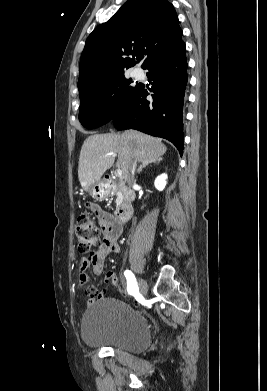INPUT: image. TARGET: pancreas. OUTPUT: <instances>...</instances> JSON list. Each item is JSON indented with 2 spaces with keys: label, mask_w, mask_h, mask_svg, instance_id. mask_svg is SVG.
Masks as SVG:
<instances>
[{
  "label": "pancreas",
  "mask_w": 267,
  "mask_h": 391,
  "mask_svg": "<svg viewBox=\"0 0 267 391\" xmlns=\"http://www.w3.org/2000/svg\"><path fill=\"white\" fill-rule=\"evenodd\" d=\"M113 192L116 194L117 196V199H116V207H120L122 202H123V193L122 191L117 188V189H113Z\"/></svg>",
  "instance_id": "pancreas-1"
}]
</instances>
